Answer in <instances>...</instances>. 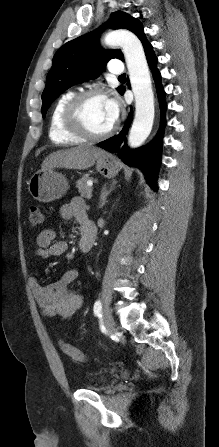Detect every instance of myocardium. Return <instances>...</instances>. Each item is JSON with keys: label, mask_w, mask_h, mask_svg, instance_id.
I'll return each mask as SVG.
<instances>
[{"label": "myocardium", "mask_w": 219, "mask_h": 447, "mask_svg": "<svg viewBox=\"0 0 219 447\" xmlns=\"http://www.w3.org/2000/svg\"><path fill=\"white\" fill-rule=\"evenodd\" d=\"M106 99V96L99 90L84 91L74 95L67 103L62 119L64 126L73 134L90 141H97L109 137L114 131L113 125L110 129L96 133L87 127L83 120V109L91 99Z\"/></svg>", "instance_id": "myocardium-1"}]
</instances>
